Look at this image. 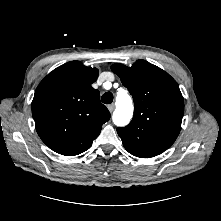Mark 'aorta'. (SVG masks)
I'll use <instances>...</instances> for the list:
<instances>
[{"label":"aorta","instance_id":"aorta-1","mask_svg":"<svg viewBox=\"0 0 221 221\" xmlns=\"http://www.w3.org/2000/svg\"><path fill=\"white\" fill-rule=\"evenodd\" d=\"M133 116V104L131 97L127 94H119L116 97V109L113 113V122L117 126L127 125Z\"/></svg>","mask_w":221,"mask_h":221}]
</instances>
